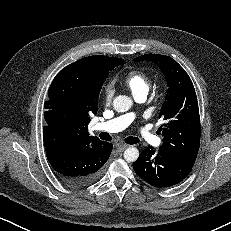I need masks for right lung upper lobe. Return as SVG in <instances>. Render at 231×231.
I'll list each match as a JSON object with an SVG mask.
<instances>
[{
  "label": "right lung upper lobe",
  "mask_w": 231,
  "mask_h": 231,
  "mask_svg": "<svg viewBox=\"0 0 231 231\" xmlns=\"http://www.w3.org/2000/svg\"><path fill=\"white\" fill-rule=\"evenodd\" d=\"M115 57L90 56L74 62L88 71L90 77L103 84L106 79L105 63ZM98 110V100L88 103L86 110L65 109L58 112H48L44 115L46 127L54 139L73 147L96 146L102 141L87 134L90 117Z\"/></svg>",
  "instance_id": "1"
}]
</instances>
